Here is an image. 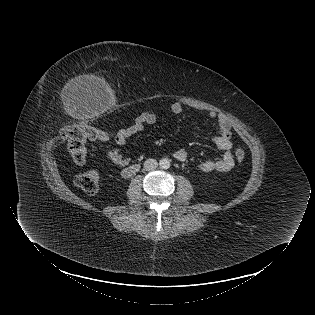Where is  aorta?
Returning a JSON list of instances; mask_svg holds the SVG:
<instances>
[{
	"mask_svg": "<svg viewBox=\"0 0 315 315\" xmlns=\"http://www.w3.org/2000/svg\"><path fill=\"white\" fill-rule=\"evenodd\" d=\"M159 166L161 169H168L170 167V160L167 158H162L159 161Z\"/></svg>",
	"mask_w": 315,
	"mask_h": 315,
	"instance_id": "1",
	"label": "aorta"
}]
</instances>
